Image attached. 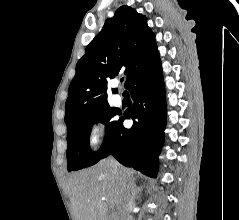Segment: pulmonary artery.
Listing matches in <instances>:
<instances>
[{
    "mask_svg": "<svg viewBox=\"0 0 239 220\" xmlns=\"http://www.w3.org/2000/svg\"><path fill=\"white\" fill-rule=\"evenodd\" d=\"M113 103L117 106L121 105L122 103V98L120 95H114L113 96Z\"/></svg>",
    "mask_w": 239,
    "mask_h": 220,
    "instance_id": "1",
    "label": "pulmonary artery"
}]
</instances>
